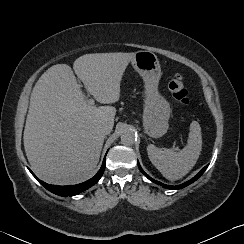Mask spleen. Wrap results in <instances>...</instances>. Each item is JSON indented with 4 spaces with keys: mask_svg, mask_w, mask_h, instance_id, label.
Here are the masks:
<instances>
[{
    "mask_svg": "<svg viewBox=\"0 0 244 244\" xmlns=\"http://www.w3.org/2000/svg\"><path fill=\"white\" fill-rule=\"evenodd\" d=\"M202 149L201 127L192 121L189 127L187 145L179 152L167 148L147 146L151 163L168 180L176 181L188 174L196 164Z\"/></svg>",
    "mask_w": 244,
    "mask_h": 244,
    "instance_id": "obj_1",
    "label": "spleen"
}]
</instances>
